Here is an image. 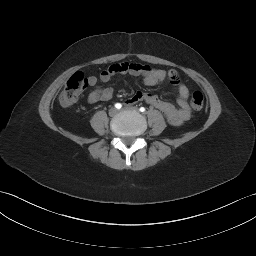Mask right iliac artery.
Segmentation results:
<instances>
[{
    "label": "right iliac artery",
    "mask_w": 256,
    "mask_h": 256,
    "mask_svg": "<svg viewBox=\"0 0 256 256\" xmlns=\"http://www.w3.org/2000/svg\"><path fill=\"white\" fill-rule=\"evenodd\" d=\"M115 107H116L117 109H120V108L122 107V105H121L120 103H116V104H115Z\"/></svg>",
    "instance_id": "82829eb1"
}]
</instances>
